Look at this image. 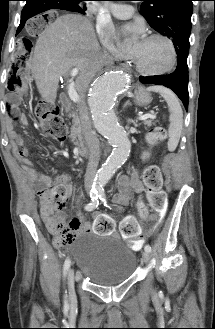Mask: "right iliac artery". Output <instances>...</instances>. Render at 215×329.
Instances as JSON below:
<instances>
[{"instance_id":"right-iliac-artery-1","label":"right iliac artery","mask_w":215,"mask_h":329,"mask_svg":"<svg viewBox=\"0 0 215 329\" xmlns=\"http://www.w3.org/2000/svg\"><path fill=\"white\" fill-rule=\"evenodd\" d=\"M90 197H91V202L85 206L86 211H93L95 208L98 207L99 205V200H98V190L97 189H91L90 191ZM71 261L69 258H67L64 262V267H63V275L64 277L67 274V271L70 267ZM65 306H67V301L65 300Z\"/></svg>"}]
</instances>
